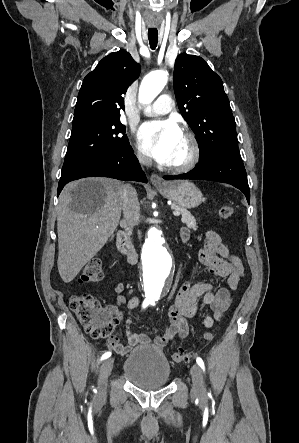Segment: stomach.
<instances>
[{
  "label": "stomach",
  "instance_id": "1",
  "mask_svg": "<svg viewBox=\"0 0 299 443\" xmlns=\"http://www.w3.org/2000/svg\"><path fill=\"white\" fill-rule=\"evenodd\" d=\"M157 190L164 197L185 209L198 207L203 201L201 191L188 181L169 182L163 187H158Z\"/></svg>",
  "mask_w": 299,
  "mask_h": 443
}]
</instances>
